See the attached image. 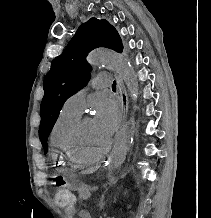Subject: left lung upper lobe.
I'll return each instance as SVG.
<instances>
[{
	"mask_svg": "<svg viewBox=\"0 0 211 218\" xmlns=\"http://www.w3.org/2000/svg\"><path fill=\"white\" fill-rule=\"evenodd\" d=\"M99 47L120 53L123 49L118 32L108 21L91 18L78 28L64 52L53 60L43 81L44 97L40 108L39 138L45 153L47 139L63 104L90 80L87 54Z\"/></svg>",
	"mask_w": 211,
	"mask_h": 218,
	"instance_id": "obj_1",
	"label": "left lung upper lobe"
}]
</instances>
